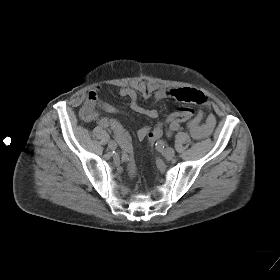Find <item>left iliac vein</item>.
I'll return each instance as SVG.
<instances>
[{
	"label": "left iliac vein",
	"instance_id": "obj_1",
	"mask_svg": "<svg viewBox=\"0 0 280 280\" xmlns=\"http://www.w3.org/2000/svg\"><path fill=\"white\" fill-rule=\"evenodd\" d=\"M163 154H164L165 158L172 159L175 156V151L173 148L167 147L164 149Z\"/></svg>",
	"mask_w": 280,
	"mask_h": 280
}]
</instances>
